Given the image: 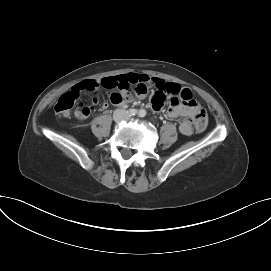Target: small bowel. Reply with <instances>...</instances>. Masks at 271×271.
<instances>
[{
    "mask_svg": "<svg viewBox=\"0 0 271 271\" xmlns=\"http://www.w3.org/2000/svg\"><path fill=\"white\" fill-rule=\"evenodd\" d=\"M98 86L111 89L112 93L110 100L117 105H125L132 100L128 90L131 86L132 96L143 98L147 94V91L154 87L157 91L152 97L150 107L155 111H160L163 105L167 101L166 95H179L180 98L186 94L192 98V93L187 88H181L177 83L167 82L162 79L151 77L142 73H124L112 77H106L100 80H87L78 83L74 89L86 90L96 89ZM98 99L93 98L92 104L97 105ZM167 115L171 118H183L179 125V130L184 135H190L193 132V124L191 117L194 118L201 106L198 103H192L173 97L167 101ZM103 108L107 107V103H104ZM90 112V108L87 106L81 107L76 115L80 118H85Z\"/></svg>",
    "mask_w": 271,
    "mask_h": 271,
    "instance_id": "obj_1",
    "label": "small bowel"
}]
</instances>
